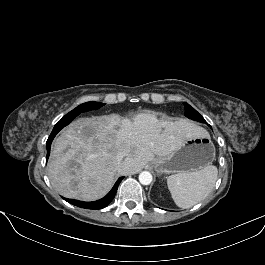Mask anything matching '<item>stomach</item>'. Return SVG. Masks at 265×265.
<instances>
[{
  "label": "stomach",
  "instance_id": "1",
  "mask_svg": "<svg viewBox=\"0 0 265 265\" xmlns=\"http://www.w3.org/2000/svg\"><path fill=\"white\" fill-rule=\"evenodd\" d=\"M215 148L206 132L200 136L186 137L176 150L152 164L158 174L198 171L212 164Z\"/></svg>",
  "mask_w": 265,
  "mask_h": 265
}]
</instances>
